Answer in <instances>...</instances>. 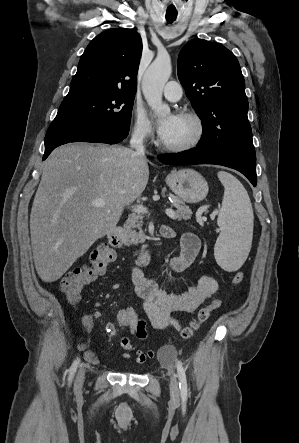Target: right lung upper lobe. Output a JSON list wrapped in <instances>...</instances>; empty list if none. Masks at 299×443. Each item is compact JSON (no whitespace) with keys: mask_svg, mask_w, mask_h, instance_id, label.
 <instances>
[{"mask_svg":"<svg viewBox=\"0 0 299 443\" xmlns=\"http://www.w3.org/2000/svg\"><path fill=\"white\" fill-rule=\"evenodd\" d=\"M141 53L142 40L133 29L100 33L81 56L70 89L98 88L135 95Z\"/></svg>","mask_w":299,"mask_h":443,"instance_id":"1","label":"right lung upper lobe"}]
</instances>
